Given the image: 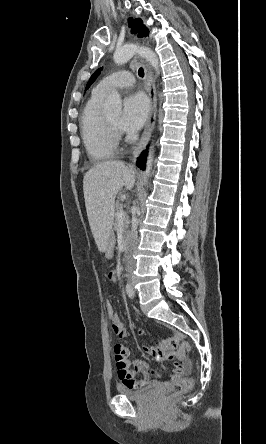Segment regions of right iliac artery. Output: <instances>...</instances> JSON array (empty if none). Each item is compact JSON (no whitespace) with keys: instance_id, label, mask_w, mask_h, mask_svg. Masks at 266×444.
<instances>
[{"instance_id":"1","label":"right iliac artery","mask_w":266,"mask_h":444,"mask_svg":"<svg viewBox=\"0 0 266 444\" xmlns=\"http://www.w3.org/2000/svg\"><path fill=\"white\" fill-rule=\"evenodd\" d=\"M126 292H127V295H128L130 298H133V297H134V290H133V288L131 287V285H129V284L126 285Z\"/></svg>"}]
</instances>
